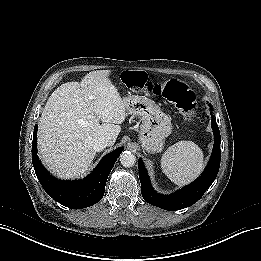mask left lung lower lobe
Here are the masks:
<instances>
[{"label": "left lung lower lobe", "mask_w": 261, "mask_h": 261, "mask_svg": "<svg viewBox=\"0 0 261 261\" xmlns=\"http://www.w3.org/2000/svg\"><path fill=\"white\" fill-rule=\"evenodd\" d=\"M212 130L214 133V148L209 163L203 174L193 183L171 195L156 193L141 159H139V178L141 182L142 197L146 202L165 210L175 211L189 207L196 203L215 180L220 166L221 137L216 119L212 117Z\"/></svg>", "instance_id": "1"}]
</instances>
